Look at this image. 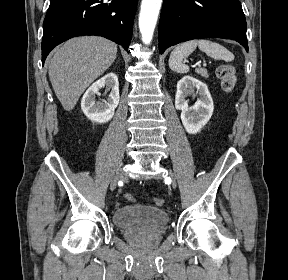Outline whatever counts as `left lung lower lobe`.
Masks as SVG:
<instances>
[{"label":"left lung lower lobe","instance_id":"obj_1","mask_svg":"<svg viewBox=\"0 0 288 280\" xmlns=\"http://www.w3.org/2000/svg\"><path fill=\"white\" fill-rule=\"evenodd\" d=\"M246 21L239 0H164L159 52L183 41L213 37L232 39L248 51Z\"/></svg>","mask_w":288,"mask_h":280}]
</instances>
